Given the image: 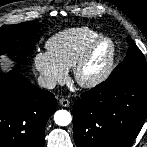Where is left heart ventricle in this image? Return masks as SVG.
Masks as SVG:
<instances>
[{
	"mask_svg": "<svg viewBox=\"0 0 147 147\" xmlns=\"http://www.w3.org/2000/svg\"><path fill=\"white\" fill-rule=\"evenodd\" d=\"M108 52H109V44L107 42H103L97 46L89 62L84 68L83 71L84 77L86 78L92 77L103 68L107 60Z\"/></svg>",
	"mask_w": 147,
	"mask_h": 147,
	"instance_id": "b2bd125f",
	"label": "left heart ventricle"
}]
</instances>
